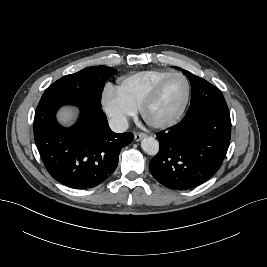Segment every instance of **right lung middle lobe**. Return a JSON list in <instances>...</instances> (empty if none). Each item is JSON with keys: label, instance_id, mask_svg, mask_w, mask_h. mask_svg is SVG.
<instances>
[{"label": "right lung middle lobe", "instance_id": "obj_1", "mask_svg": "<svg viewBox=\"0 0 267 267\" xmlns=\"http://www.w3.org/2000/svg\"><path fill=\"white\" fill-rule=\"evenodd\" d=\"M117 70L108 66H91L66 75L50 85L43 95H54L101 108V95L108 77Z\"/></svg>", "mask_w": 267, "mask_h": 267}]
</instances>
